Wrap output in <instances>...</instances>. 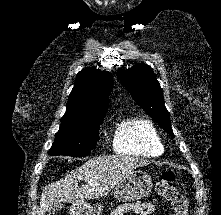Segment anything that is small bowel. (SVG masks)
Instances as JSON below:
<instances>
[{
    "mask_svg": "<svg viewBox=\"0 0 221 215\" xmlns=\"http://www.w3.org/2000/svg\"><path fill=\"white\" fill-rule=\"evenodd\" d=\"M155 212V206L151 203L136 202L133 204H125L115 209L111 215H124L127 213H135L139 215H152Z\"/></svg>",
    "mask_w": 221,
    "mask_h": 215,
    "instance_id": "1",
    "label": "small bowel"
}]
</instances>
